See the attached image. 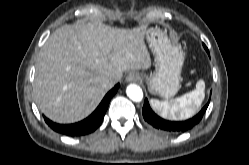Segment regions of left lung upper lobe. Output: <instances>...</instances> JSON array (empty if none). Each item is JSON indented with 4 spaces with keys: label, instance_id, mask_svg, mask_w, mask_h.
Listing matches in <instances>:
<instances>
[{
    "label": "left lung upper lobe",
    "instance_id": "1",
    "mask_svg": "<svg viewBox=\"0 0 249 165\" xmlns=\"http://www.w3.org/2000/svg\"><path fill=\"white\" fill-rule=\"evenodd\" d=\"M203 46H204L205 50L208 52V54H209V51H208L207 47L204 44H203Z\"/></svg>",
    "mask_w": 249,
    "mask_h": 165
}]
</instances>
